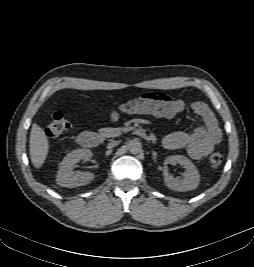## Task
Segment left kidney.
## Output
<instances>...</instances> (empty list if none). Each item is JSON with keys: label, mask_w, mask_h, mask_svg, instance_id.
Masks as SVG:
<instances>
[{"label": "left kidney", "mask_w": 254, "mask_h": 267, "mask_svg": "<svg viewBox=\"0 0 254 267\" xmlns=\"http://www.w3.org/2000/svg\"><path fill=\"white\" fill-rule=\"evenodd\" d=\"M175 163H178L185 168L186 172L184 173V178H174L168 173L167 169H165L163 174L166 186L171 190L180 192L196 189L200 182V175L192 161L182 155L169 156L165 161V164Z\"/></svg>", "instance_id": "left-kidney-1"}]
</instances>
